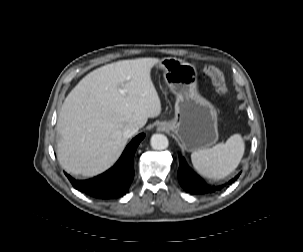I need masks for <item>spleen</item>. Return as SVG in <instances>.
<instances>
[{"mask_svg":"<svg viewBox=\"0 0 303 252\" xmlns=\"http://www.w3.org/2000/svg\"><path fill=\"white\" fill-rule=\"evenodd\" d=\"M245 145L240 134H234L225 143L209 149L194 151L191 161L199 174L210 179H223L239 165Z\"/></svg>","mask_w":303,"mask_h":252,"instance_id":"obj_1","label":"spleen"}]
</instances>
